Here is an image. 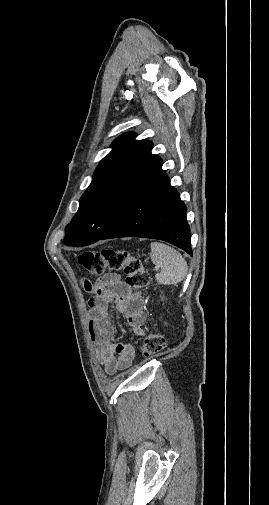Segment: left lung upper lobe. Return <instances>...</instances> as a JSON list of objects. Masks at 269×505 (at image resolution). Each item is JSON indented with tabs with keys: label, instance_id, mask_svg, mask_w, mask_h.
<instances>
[{
	"label": "left lung upper lobe",
	"instance_id": "obj_1",
	"mask_svg": "<svg viewBox=\"0 0 269 505\" xmlns=\"http://www.w3.org/2000/svg\"><path fill=\"white\" fill-rule=\"evenodd\" d=\"M125 133L112 144V151L98 165L93 180L80 199V206L66 226L64 243L80 247L95 243L113 226L130 200L151 158L152 143Z\"/></svg>",
	"mask_w": 269,
	"mask_h": 505
}]
</instances>
